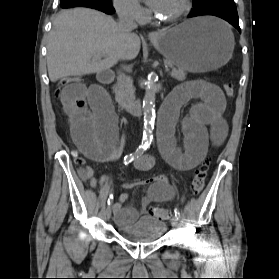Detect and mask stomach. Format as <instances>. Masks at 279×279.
I'll return each instance as SVG.
<instances>
[{
  "label": "stomach",
  "mask_w": 279,
  "mask_h": 279,
  "mask_svg": "<svg viewBox=\"0 0 279 279\" xmlns=\"http://www.w3.org/2000/svg\"><path fill=\"white\" fill-rule=\"evenodd\" d=\"M153 43L172 65L193 73L225 65L235 44L231 30L211 17L195 18L164 30Z\"/></svg>",
  "instance_id": "stomach-1"
}]
</instances>
